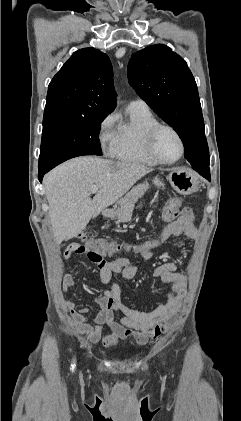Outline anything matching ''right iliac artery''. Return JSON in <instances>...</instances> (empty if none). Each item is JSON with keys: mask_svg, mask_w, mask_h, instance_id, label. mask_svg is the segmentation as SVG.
I'll return each instance as SVG.
<instances>
[{"mask_svg": "<svg viewBox=\"0 0 241 421\" xmlns=\"http://www.w3.org/2000/svg\"><path fill=\"white\" fill-rule=\"evenodd\" d=\"M75 368V360L73 361V364L71 365V370L73 371Z\"/></svg>", "mask_w": 241, "mask_h": 421, "instance_id": "obj_1", "label": "right iliac artery"}]
</instances>
